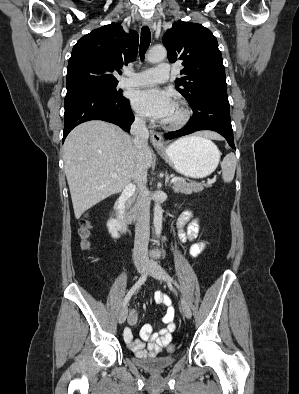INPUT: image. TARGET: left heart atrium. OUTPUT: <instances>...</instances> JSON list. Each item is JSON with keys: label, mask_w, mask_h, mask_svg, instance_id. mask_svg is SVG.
Masks as SVG:
<instances>
[{"label": "left heart atrium", "mask_w": 299, "mask_h": 394, "mask_svg": "<svg viewBox=\"0 0 299 394\" xmlns=\"http://www.w3.org/2000/svg\"><path fill=\"white\" fill-rule=\"evenodd\" d=\"M132 102L142 115L162 121L167 120L175 105L168 92L156 87L137 91Z\"/></svg>", "instance_id": "39dd6f15"}]
</instances>
